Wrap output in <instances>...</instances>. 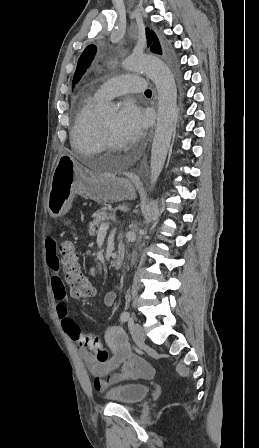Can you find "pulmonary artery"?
<instances>
[{"label": "pulmonary artery", "instance_id": "pulmonary-artery-1", "mask_svg": "<svg viewBox=\"0 0 259 448\" xmlns=\"http://www.w3.org/2000/svg\"><path fill=\"white\" fill-rule=\"evenodd\" d=\"M135 53L134 55H136ZM136 76L134 75H120L116 76L113 79L109 80L108 82L104 83L97 89V95L102 100H108L110 98H113L115 96L121 95L128 91L127 88L121 87L117 85L118 81L126 80V79H134Z\"/></svg>", "mask_w": 259, "mask_h": 448}]
</instances>
